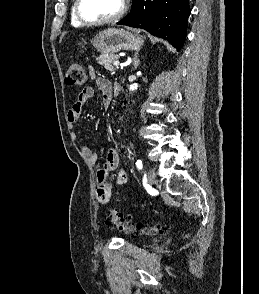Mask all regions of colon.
Masks as SVG:
<instances>
[{
	"label": "colon",
	"instance_id": "5ec220e1",
	"mask_svg": "<svg viewBox=\"0 0 259 294\" xmlns=\"http://www.w3.org/2000/svg\"><path fill=\"white\" fill-rule=\"evenodd\" d=\"M86 81V73L82 64L78 61H71L65 73V82L70 86H78L84 84ZM106 224L117 228L119 231L125 233H162L164 228L160 225H152L145 228L142 225H134L130 219L125 218L119 209L114 208L108 212L106 217Z\"/></svg>",
	"mask_w": 259,
	"mask_h": 294
}]
</instances>
